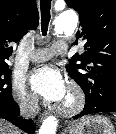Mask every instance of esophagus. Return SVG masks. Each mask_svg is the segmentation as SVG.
Returning <instances> with one entry per match:
<instances>
[{
	"instance_id": "obj_1",
	"label": "esophagus",
	"mask_w": 116,
	"mask_h": 134,
	"mask_svg": "<svg viewBox=\"0 0 116 134\" xmlns=\"http://www.w3.org/2000/svg\"><path fill=\"white\" fill-rule=\"evenodd\" d=\"M45 117H46V113H41V114H39L38 119L41 122L44 120Z\"/></svg>"
}]
</instances>
